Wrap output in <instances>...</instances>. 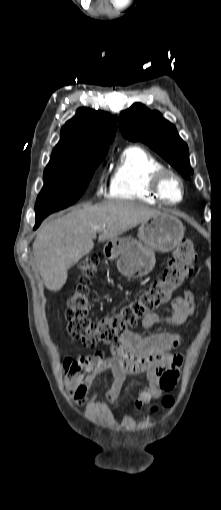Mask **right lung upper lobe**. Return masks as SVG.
Segmentation results:
<instances>
[{"mask_svg": "<svg viewBox=\"0 0 221 510\" xmlns=\"http://www.w3.org/2000/svg\"><path fill=\"white\" fill-rule=\"evenodd\" d=\"M116 126V120L106 112L78 109L76 116L62 127L61 139L53 149L50 161L108 150Z\"/></svg>", "mask_w": 221, "mask_h": 510, "instance_id": "cb5924a9", "label": "right lung upper lobe"}]
</instances>
